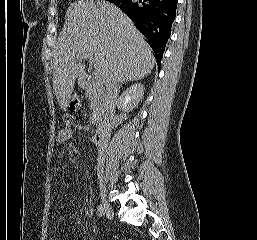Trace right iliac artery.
Wrapping results in <instances>:
<instances>
[{
  "instance_id": "1",
  "label": "right iliac artery",
  "mask_w": 257,
  "mask_h": 240,
  "mask_svg": "<svg viewBox=\"0 0 257 240\" xmlns=\"http://www.w3.org/2000/svg\"><path fill=\"white\" fill-rule=\"evenodd\" d=\"M103 208H102V206H101V204L100 205H98V207H97V214H98V216H102L103 215Z\"/></svg>"
}]
</instances>
